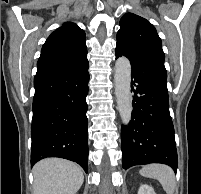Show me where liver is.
<instances>
[{
  "instance_id": "6515ba94",
  "label": "liver",
  "mask_w": 201,
  "mask_h": 194,
  "mask_svg": "<svg viewBox=\"0 0 201 194\" xmlns=\"http://www.w3.org/2000/svg\"><path fill=\"white\" fill-rule=\"evenodd\" d=\"M33 194H75L83 184L82 169L59 158L41 160L33 167Z\"/></svg>"
}]
</instances>
